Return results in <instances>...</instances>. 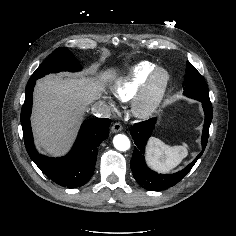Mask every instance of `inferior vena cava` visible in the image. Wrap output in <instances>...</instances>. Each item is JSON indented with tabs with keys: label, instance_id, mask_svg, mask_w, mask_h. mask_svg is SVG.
Wrapping results in <instances>:
<instances>
[{
	"label": "inferior vena cava",
	"instance_id": "obj_1",
	"mask_svg": "<svg viewBox=\"0 0 236 236\" xmlns=\"http://www.w3.org/2000/svg\"><path fill=\"white\" fill-rule=\"evenodd\" d=\"M91 112L93 115L100 118H109L111 116V110L109 106L103 101L96 102L92 106Z\"/></svg>",
	"mask_w": 236,
	"mask_h": 236
}]
</instances>
